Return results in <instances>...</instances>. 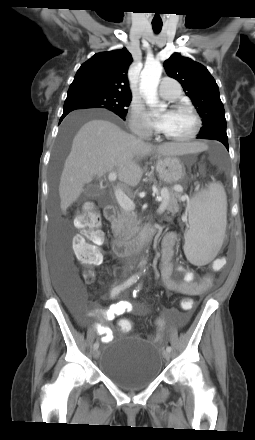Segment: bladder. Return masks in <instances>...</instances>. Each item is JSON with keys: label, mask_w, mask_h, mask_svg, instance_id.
Instances as JSON below:
<instances>
[{"label": "bladder", "mask_w": 255, "mask_h": 440, "mask_svg": "<svg viewBox=\"0 0 255 440\" xmlns=\"http://www.w3.org/2000/svg\"><path fill=\"white\" fill-rule=\"evenodd\" d=\"M162 368V354L144 339L123 337L105 343L100 371L121 390L137 392L145 389L160 376Z\"/></svg>", "instance_id": "bladder-1"}]
</instances>
